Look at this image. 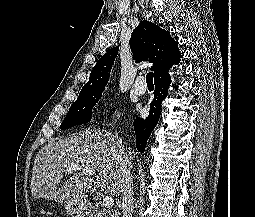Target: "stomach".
I'll use <instances>...</instances> for the list:
<instances>
[{
  "instance_id": "obj_1",
  "label": "stomach",
  "mask_w": 255,
  "mask_h": 217,
  "mask_svg": "<svg viewBox=\"0 0 255 217\" xmlns=\"http://www.w3.org/2000/svg\"><path fill=\"white\" fill-rule=\"evenodd\" d=\"M88 210L89 204L86 200L65 204V212L71 217H84Z\"/></svg>"
}]
</instances>
